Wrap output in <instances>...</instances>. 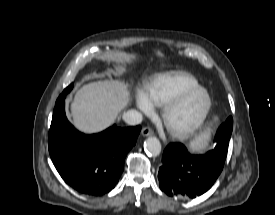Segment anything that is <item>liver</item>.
Returning a JSON list of instances; mask_svg holds the SVG:
<instances>
[{"instance_id":"liver-1","label":"liver","mask_w":275,"mask_h":215,"mask_svg":"<svg viewBox=\"0 0 275 215\" xmlns=\"http://www.w3.org/2000/svg\"><path fill=\"white\" fill-rule=\"evenodd\" d=\"M131 101L129 84L120 80L91 82L79 89L71 103L74 126L84 133L109 127Z\"/></svg>"}]
</instances>
